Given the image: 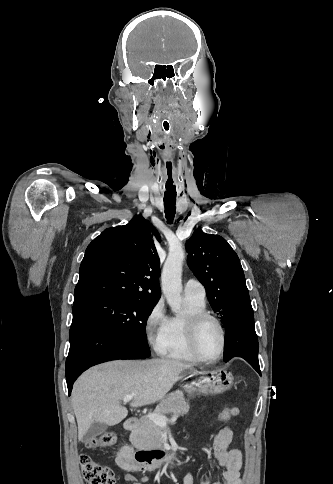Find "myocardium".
Masks as SVG:
<instances>
[{"label":"myocardium","mask_w":333,"mask_h":484,"mask_svg":"<svg viewBox=\"0 0 333 484\" xmlns=\"http://www.w3.org/2000/svg\"><path fill=\"white\" fill-rule=\"evenodd\" d=\"M206 321H212L215 323V325L218 327L219 332H220V337H221V346L220 350L217 354L216 357L214 358H206L204 357L198 347V335L201 326L206 322ZM187 339L188 343L190 346V349L192 353L201 361L204 363H214L218 361L219 359L222 358L225 352L226 348V331L221 323V321L214 316L213 314L209 312H201V313H196L193 314L189 317L188 322H187Z\"/></svg>","instance_id":"obj_1"}]
</instances>
